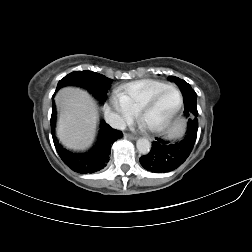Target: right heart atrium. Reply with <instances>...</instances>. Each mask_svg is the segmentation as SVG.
Masks as SVG:
<instances>
[{"label": "right heart atrium", "mask_w": 252, "mask_h": 252, "mask_svg": "<svg viewBox=\"0 0 252 252\" xmlns=\"http://www.w3.org/2000/svg\"><path fill=\"white\" fill-rule=\"evenodd\" d=\"M112 123L117 127H123L135 116V109L130 105L127 98L118 90L114 91L109 98Z\"/></svg>", "instance_id": "obj_1"}]
</instances>
